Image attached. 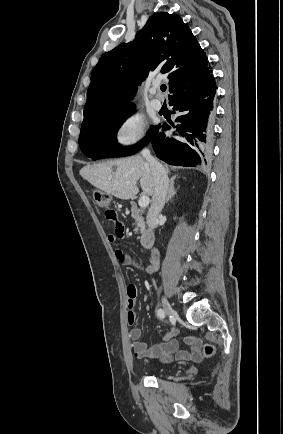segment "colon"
Listing matches in <instances>:
<instances>
[{
  "instance_id": "colon-1",
  "label": "colon",
  "mask_w": 283,
  "mask_h": 434,
  "mask_svg": "<svg viewBox=\"0 0 283 434\" xmlns=\"http://www.w3.org/2000/svg\"><path fill=\"white\" fill-rule=\"evenodd\" d=\"M94 200L96 203L103 209H109L111 205V197L109 194L103 191H95L94 192ZM214 345L211 343H207L202 348V356L209 357L214 354Z\"/></svg>"
}]
</instances>
